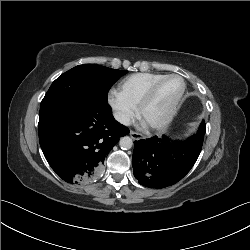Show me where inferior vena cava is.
<instances>
[{
  "instance_id": "1",
  "label": "inferior vena cava",
  "mask_w": 250,
  "mask_h": 250,
  "mask_svg": "<svg viewBox=\"0 0 250 250\" xmlns=\"http://www.w3.org/2000/svg\"><path fill=\"white\" fill-rule=\"evenodd\" d=\"M114 118L123 125H130L131 123L130 117L122 112H115Z\"/></svg>"
}]
</instances>
